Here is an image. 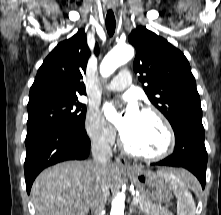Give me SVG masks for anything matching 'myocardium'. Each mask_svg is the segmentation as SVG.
<instances>
[{
  "label": "myocardium",
  "instance_id": "obj_1",
  "mask_svg": "<svg viewBox=\"0 0 221 215\" xmlns=\"http://www.w3.org/2000/svg\"><path fill=\"white\" fill-rule=\"evenodd\" d=\"M141 112L150 113L158 119V121L162 125L165 135H166L165 147L163 148V150H161L160 152L155 153V154L139 153V152H135L132 149H130L127 146L126 142L124 141L123 136H121L120 142H121L122 149L128 155H130L131 157L137 158V159L147 160V161L161 160V159L167 157L168 155H170L173 152L174 147H175V134H174V130L172 128V125L169 122V120L167 119V117L158 108H156L154 106H144L141 109Z\"/></svg>",
  "mask_w": 221,
  "mask_h": 215
}]
</instances>
